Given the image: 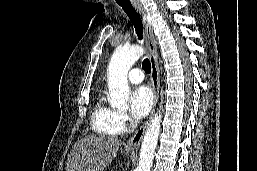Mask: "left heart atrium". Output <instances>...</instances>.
<instances>
[{"instance_id":"1","label":"left heart atrium","mask_w":257,"mask_h":171,"mask_svg":"<svg viewBox=\"0 0 257 171\" xmlns=\"http://www.w3.org/2000/svg\"><path fill=\"white\" fill-rule=\"evenodd\" d=\"M152 104V93L145 86L136 88L130 95V113L135 119H141L146 116Z\"/></svg>"}]
</instances>
